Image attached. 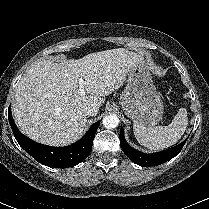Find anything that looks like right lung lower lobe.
<instances>
[{
	"instance_id": "right-lung-lower-lobe-1",
	"label": "right lung lower lobe",
	"mask_w": 209,
	"mask_h": 209,
	"mask_svg": "<svg viewBox=\"0 0 209 209\" xmlns=\"http://www.w3.org/2000/svg\"><path fill=\"white\" fill-rule=\"evenodd\" d=\"M8 119L19 145L39 163L56 168L73 167L89 155L100 123H94L78 142L66 147H52L34 142L18 130L12 117L11 105L8 109Z\"/></svg>"
}]
</instances>
